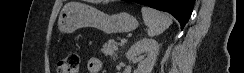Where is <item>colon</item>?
<instances>
[{
  "label": "colon",
  "mask_w": 244,
  "mask_h": 73,
  "mask_svg": "<svg viewBox=\"0 0 244 73\" xmlns=\"http://www.w3.org/2000/svg\"><path fill=\"white\" fill-rule=\"evenodd\" d=\"M80 66V56L76 52H70L57 63L58 73H78Z\"/></svg>",
  "instance_id": "colon-1"
}]
</instances>
